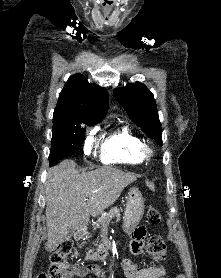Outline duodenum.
Wrapping results in <instances>:
<instances>
[{
	"instance_id": "410a0bca",
	"label": "duodenum",
	"mask_w": 221,
	"mask_h": 278,
	"mask_svg": "<svg viewBox=\"0 0 221 278\" xmlns=\"http://www.w3.org/2000/svg\"><path fill=\"white\" fill-rule=\"evenodd\" d=\"M85 235V230H79L75 233V239L81 240ZM111 252V248L108 244H104L102 246L96 247L92 253L90 254V257L92 260H100L105 257H107Z\"/></svg>"
}]
</instances>
